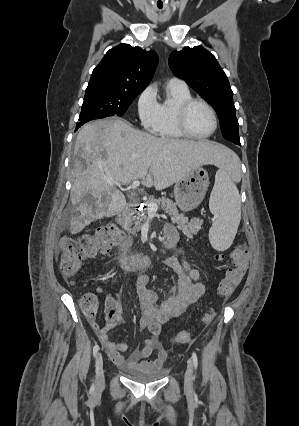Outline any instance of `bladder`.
<instances>
[{"instance_id": "1", "label": "bladder", "mask_w": 299, "mask_h": 426, "mask_svg": "<svg viewBox=\"0 0 299 426\" xmlns=\"http://www.w3.org/2000/svg\"><path fill=\"white\" fill-rule=\"evenodd\" d=\"M124 373L133 381L150 383L164 378L167 374V370L164 367L153 369H125Z\"/></svg>"}]
</instances>
